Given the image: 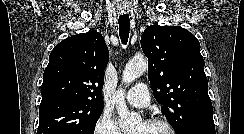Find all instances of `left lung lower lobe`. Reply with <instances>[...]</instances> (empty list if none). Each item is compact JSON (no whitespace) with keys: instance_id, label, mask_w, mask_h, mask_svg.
<instances>
[{"instance_id":"0a47b994","label":"left lung lower lobe","mask_w":244,"mask_h":134,"mask_svg":"<svg viewBox=\"0 0 244 134\" xmlns=\"http://www.w3.org/2000/svg\"><path fill=\"white\" fill-rule=\"evenodd\" d=\"M184 134H216V132L213 126L199 125L190 128Z\"/></svg>"}]
</instances>
